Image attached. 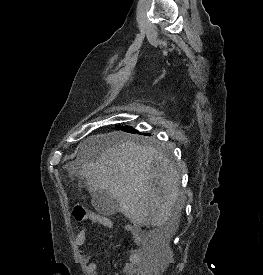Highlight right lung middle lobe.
Listing matches in <instances>:
<instances>
[{
    "label": "right lung middle lobe",
    "instance_id": "1",
    "mask_svg": "<svg viewBox=\"0 0 263 275\" xmlns=\"http://www.w3.org/2000/svg\"><path fill=\"white\" fill-rule=\"evenodd\" d=\"M118 129L122 130V131H125V132H128V133H138V134H142L140 132H138L137 130L133 129L131 126H127V125H124V126H117ZM142 135H146V136H150V134H142ZM147 140V139H146ZM148 140H150L148 138Z\"/></svg>",
    "mask_w": 263,
    "mask_h": 275
}]
</instances>
